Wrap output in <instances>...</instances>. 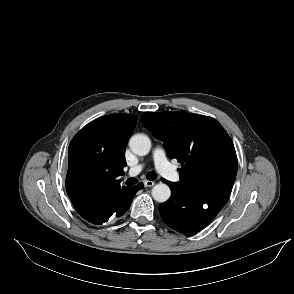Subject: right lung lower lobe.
<instances>
[{"label": "right lung lower lobe", "instance_id": "1", "mask_svg": "<svg viewBox=\"0 0 294 294\" xmlns=\"http://www.w3.org/2000/svg\"><path fill=\"white\" fill-rule=\"evenodd\" d=\"M143 187L142 183L136 186L127 187L120 191L111 201L91 211H79L78 213L90 223L101 225L109 218L120 217L129 209L134 195Z\"/></svg>", "mask_w": 294, "mask_h": 294}]
</instances>
